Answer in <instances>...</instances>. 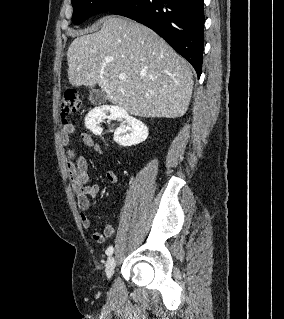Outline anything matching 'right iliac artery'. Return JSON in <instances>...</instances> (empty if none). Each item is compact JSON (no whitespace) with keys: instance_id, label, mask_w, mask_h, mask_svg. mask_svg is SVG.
<instances>
[{"instance_id":"right-iliac-artery-1","label":"right iliac artery","mask_w":284,"mask_h":319,"mask_svg":"<svg viewBox=\"0 0 284 319\" xmlns=\"http://www.w3.org/2000/svg\"><path fill=\"white\" fill-rule=\"evenodd\" d=\"M114 249H113V246H110L107 250H106V254L108 256H110L112 253H113Z\"/></svg>"}]
</instances>
